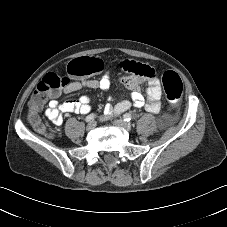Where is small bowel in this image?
<instances>
[{
  "mask_svg": "<svg viewBox=\"0 0 227 227\" xmlns=\"http://www.w3.org/2000/svg\"><path fill=\"white\" fill-rule=\"evenodd\" d=\"M129 60H123L121 67L125 71H128ZM143 76L130 73L121 78V83L130 90L128 99L121 100L117 103H113L114 98L109 96V103L104 108V114L107 117L118 116L127 112L131 106L143 107L150 113H158L161 109V87L158 77L155 75L148 80V88L146 95L144 96L139 90V83ZM99 89L105 92L110 88V76L106 71L99 79H81L71 82L67 87L63 89L66 94L79 91L81 89ZM92 97L90 95H83L76 100H65L59 102L57 99H52L49 102L48 107L44 111L45 116L49 121L58 126L62 123V113H80L88 114L91 109Z\"/></svg>",
  "mask_w": 227,
  "mask_h": 227,
  "instance_id": "1",
  "label": "small bowel"
}]
</instances>
